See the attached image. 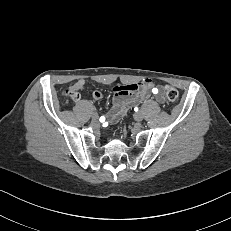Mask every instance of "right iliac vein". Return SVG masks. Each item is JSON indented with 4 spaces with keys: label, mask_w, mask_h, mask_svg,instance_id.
Returning <instances> with one entry per match:
<instances>
[{
    "label": "right iliac vein",
    "mask_w": 231,
    "mask_h": 231,
    "mask_svg": "<svg viewBox=\"0 0 231 231\" xmlns=\"http://www.w3.org/2000/svg\"><path fill=\"white\" fill-rule=\"evenodd\" d=\"M92 122H93L94 124H97V123L99 122V116H98L97 113H93V114H92Z\"/></svg>",
    "instance_id": "63e3f726"
}]
</instances>
